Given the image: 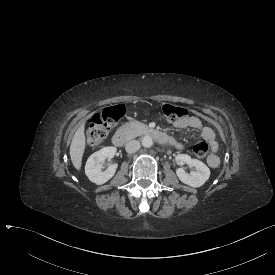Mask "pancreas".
Here are the masks:
<instances>
[{
  "mask_svg": "<svg viewBox=\"0 0 275 275\" xmlns=\"http://www.w3.org/2000/svg\"><path fill=\"white\" fill-rule=\"evenodd\" d=\"M149 127L139 121H133L128 124L119 127L116 133L121 134L126 137L127 140L136 138L143 134L148 133Z\"/></svg>",
  "mask_w": 275,
  "mask_h": 275,
  "instance_id": "cf45deb5",
  "label": "pancreas"
}]
</instances>
